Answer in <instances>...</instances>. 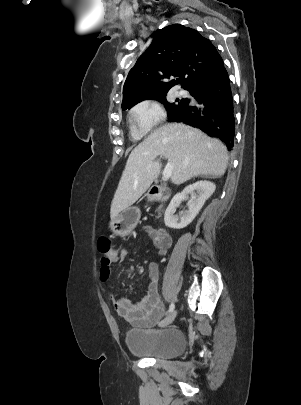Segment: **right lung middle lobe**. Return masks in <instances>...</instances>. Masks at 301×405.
Here are the masks:
<instances>
[{"label": "right lung middle lobe", "instance_id": "dd1d6c3e", "mask_svg": "<svg viewBox=\"0 0 301 405\" xmlns=\"http://www.w3.org/2000/svg\"><path fill=\"white\" fill-rule=\"evenodd\" d=\"M166 93L167 92H163V93H160V94L149 96L146 99H155V100H158L161 103H164L165 107H166V109L168 111V115L171 114L172 112H174L175 110H177L178 108H180V107H182V106L189 103L188 99H177L176 103H168L167 100H166Z\"/></svg>", "mask_w": 301, "mask_h": 405}]
</instances>
